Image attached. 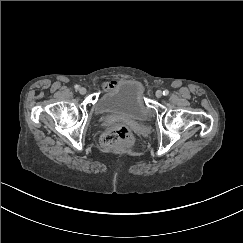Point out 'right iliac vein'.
<instances>
[{"label": "right iliac vein", "instance_id": "right-iliac-vein-1", "mask_svg": "<svg viewBox=\"0 0 243 243\" xmlns=\"http://www.w3.org/2000/svg\"><path fill=\"white\" fill-rule=\"evenodd\" d=\"M86 92H87V90H86V88H84V87H81V88L79 89V93L82 94V95L86 94Z\"/></svg>", "mask_w": 243, "mask_h": 243}]
</instances>
